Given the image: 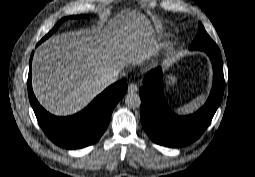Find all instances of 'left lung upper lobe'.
<instances>
[{"label":"left lung upper lobe","mask_w":255,"mask_h":177,"mask_svg":"<svg viewBox=\"0 0 255 177\" xmlns=\"http://www.w3.org/2000/svg\"><path fill=\"white\" fill-rule=\"evenodd\" d=\"M191 50H210V49H218L217 45L214 41L209 37L206 33L204 27L200 24L199 31L190 46Z\"/></svg>","instance_id":"obj_1"}]
</instances>
